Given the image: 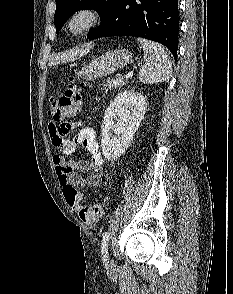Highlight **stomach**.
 <instances>
[{"mask_svg":"<svg viewBox=\"0 0 233 294\" xmlns=\"http://www.w3.org/2000/svg\"><path fill=\"white\" fill-rule=\"evenodd\" d=\"M130 60L131 53L126 49L109 51L82 67L81 70L78 71L77 77L86 81H91L123 68Z\"/></svg>","mask_w":233,"mask_h":294,"instance_id":"stomach-1","label":"stomach"}]
</instances>
